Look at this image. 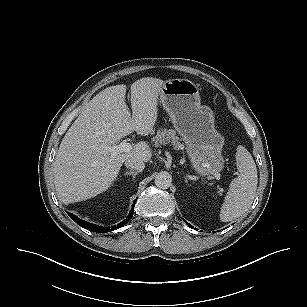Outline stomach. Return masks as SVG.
Instances as JSON below:
<instances>
[{
	"label": "stomach",
	"mask_w": 307,
	"mask_h": 307,
	"mask_svg": "<svg viewBox=\"0 0 307 307\" xmlns=\"http://www.w3.org/2000/svg\"><path fill=\"white\" fill-rule=\"evenodd\" d=\"M160 100L186 143L193 168L202 176L219 173L224 167V138L215 129L212 109L201 104L198 85L188 79L168 80L160 91Z\"/></svg>",
	"instance_id": "obj_1"
}]
</instances>
